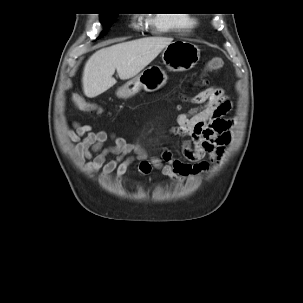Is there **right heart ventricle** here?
<instances>
[{
	"label": "right heart ventricle",
	"mask_w": 303,
	"mask_h": 303,
	"mask_svg": "<svg viewBox=\"0 0 303 303\" xmlns=\"http://www.w3.org/2000/svg\"><path fill=\"white\" fill-rule=\"evenodd\" d=\"M151 22L160 30L190 28L196 24L195 20L188 17H154Z\"/></svg>",
	"instance_id": "e07e8e85"
}]
</instances>
